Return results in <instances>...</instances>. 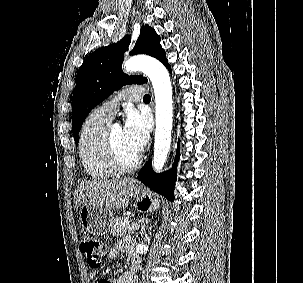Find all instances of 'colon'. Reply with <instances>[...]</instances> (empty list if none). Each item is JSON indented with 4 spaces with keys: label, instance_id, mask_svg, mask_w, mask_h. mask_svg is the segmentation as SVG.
I'll use <instances>...</instances> for the list:
<instances>
[{
    "label": "colon",
    "instance_id": "obj_1",
    "mask_svg": "<svg viewBox=\"0 0 303 283\" xmlns=\"http://www.w3.org/2000/svg\"><path fill=\"white\" fill-rule=\"evenodd\" d=\"M79 247L88 264L92 267L100 266L103 257L107 253V244L98 238L84 237L80 240ZM98 283H111V281L101 279Z\"/></svg>",
    "mask_w": 303,
    "mask_h": 283
}]
</instances>
